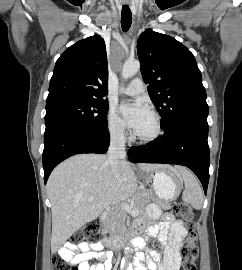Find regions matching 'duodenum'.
I'll list each match as a JSON object with an SVG mask.
<instances>
[{
  "label": "duodenum",
  "instance_id": "410a0bca",
  "mask_svg": "<svg viewBox=\"0 0 242 270\" xmlns=\"http://www.w3.org/2000/svg\"><path fill=\"white\" fill-rule=\"evenodd\" d=\"M109 217V211H104L100 219L102 222H106ZM135 232L131 231L129 233L123 234V235H114L108 239H106L104 242L107 244L110 248L117 250L122 247H124L127 243H130L133 241Z\"/></svg>",
  "mask_w": 242,
  "mask_h": 270
}]
</instances>
